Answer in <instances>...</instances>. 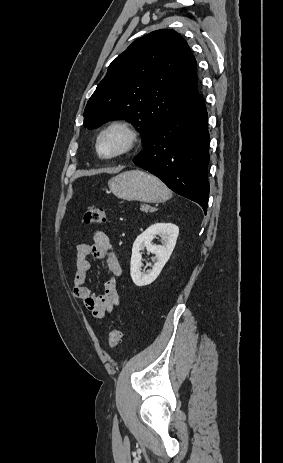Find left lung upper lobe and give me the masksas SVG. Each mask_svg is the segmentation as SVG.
I'll list each match as a JSON object with an SVG mask.
<instances>
[{"instance_id":"left-lung-upper-lobe-1","label":"left lung upper lobe","mask_w":283,"mask_h":463,"mask_svg":"<svg viewBox=\"0 0 283 463\" xmlns=\"http://www.w3.org/2000/svg\"><path fill=\"white\" fill-rule=\"evenodd\" d=\"M198 93L196 60L174 30H156L134 41L110 65L84 111V127L126 119L143 134Z\"/></svg>"}]
</instances>
